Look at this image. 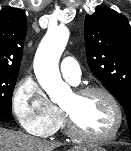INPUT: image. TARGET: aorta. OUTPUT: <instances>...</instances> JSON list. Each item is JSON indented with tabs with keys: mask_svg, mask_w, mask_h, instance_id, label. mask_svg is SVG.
<instances>
[{
	"mask_svg": "<svg viewBox=\"0 0 131 151\" xmlns=\"http://www.w3.org/2000/svg\"><path fill=\"white\" fill-rule=\"evenodd\" d=\"M68 38L69 31L66 27L50 28L41 41L34 59V71L38 82L54 102L59 101L66 88L59 73L58 62Z\"/></svg>",
	"mask_w": 131,
	"mask_h": 151,
	"instance_id": "762f6f07",
	"label": "aorta"
}]
</instances>
